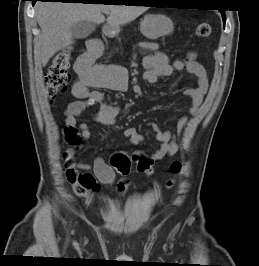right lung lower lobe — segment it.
I'll list each match as a JSON object with an SVG mask.
<instances>
[{
  "label": "right lung lower lobe",
  "instance_id": "98d812e1",
  "mask_svg": "<svg viewBox=\"0 0 259 266\" xmlns=\"http://www.w3.org/2000/svg\"><path fill=\"white\" fill-rule=\"evenodd\" d=\"M31 1L33 2V5H34L36 1H42V2H44V1H60V2L64 3V2L72 1V0H31ZM84 1H85V0H84ZM86 2H87V1H85V2H83V3L86 4Z\"/></svg>",
  "mask_w": 259,
  "mask_h": 266
}]
</instances>
